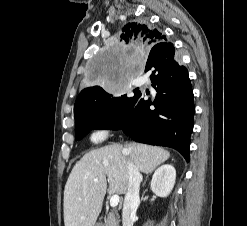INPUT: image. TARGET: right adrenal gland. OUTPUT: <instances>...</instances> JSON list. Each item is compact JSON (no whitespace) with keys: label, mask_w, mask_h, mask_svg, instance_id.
I'll return each mask as SVG.
<instances>
[{"label":"right adrenal gland","mask_w":247,"mask_h":226,"mask_svg":"<svg viewBox=\"0 0 247 226\" xmlns=\"http://www.w3.org/2000/svg\"><path fill=\"white\" fill-rule=\"evenodd\" d=\"M147 177H148V175H147ZM147 177H146V180H147ZM146 180L144 181L143 185H145V183H146Z\"/></svg>","instance_id":"2a0ac1e0"}]
</instances>
